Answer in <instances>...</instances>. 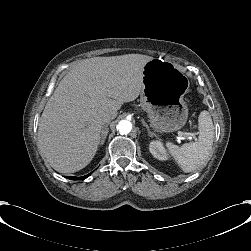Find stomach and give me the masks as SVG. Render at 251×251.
Instances as JSON below:
<instances>
[{"label": "stomach", "mask_w": 251, "mask_h": 251, "mask_svg": "<svg viewBox=\"0 0 251 251\" xmlns=\"http://www.w3.org/2000/svg\"><path fill=\"white\" fill-rule=\"evenodd\" d=\"M140 105L148 113L151 127L158 132L181 129L188 118L183 97L189 80L172 62L154 58L143 69Z\"/></svg>", "instance_id": "stomach-1"}]
</instances>
